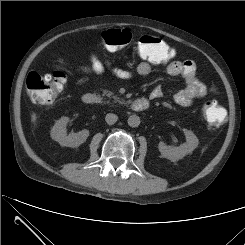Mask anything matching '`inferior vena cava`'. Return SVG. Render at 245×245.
I'll return each mask as SVG.
<instances>
[{
	"instance_id": "1",
	"label": "inferior vena cava",
	"mask_w": 245,
	"mask_h": 245,
	"mask_svg": "<svg viewBox=\"0 0 245 245\" xmlns=\"http://www.w3.org/2000/svg\"><path fill=\"white\" fill-rule=\"evenodd\" d=\"M105 120H106L107 124L112 125V124L116 123V121L118 120V116L116 114H113V113H108L105 117Z\"/></svg>"
}]
</instances>
